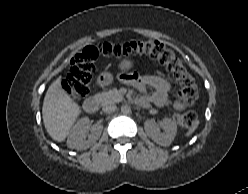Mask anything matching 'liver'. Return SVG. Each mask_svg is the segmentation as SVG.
Returning <instances> with one entry per match:
<instances>
[{
    "instance_id": "obj_1",
    "label": "liver",
    "mask_w": 248,
    "mask_h": 194,
    "mask_svg": "<svg viewBox=\"0 0 248 194\" xmlns=\"http://www.w3.org/2000/svg\"><path fill=\"white\" fill-rule=\"evenodd\" d=\"M80 113V106L62 89L58 77L49 86L42 107L44 126L51 138L63 142Z\"/></svg>"
}]
</instances>
